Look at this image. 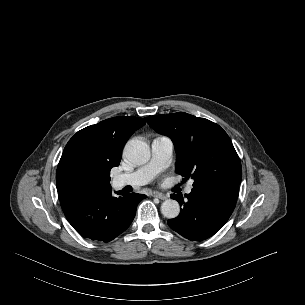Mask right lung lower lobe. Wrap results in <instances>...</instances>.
Returning <instances> with one entry per match:
<instances>
[{
	"instance_id": "1",
	"label": "right lung lower lobe",
	"mask_w": 305,
	"mask_h": 305,
	"mask_svg": "<svg viewBox=\"0 0 305 305\" xmlns=\"http://www.w3.org/2000/svg\"><path fill=\"white\" fill-rule=\"evenodd\" d=\"M112 197L111 189L90 190L61 201L62 210L72 227L84 238L109 242L133 221L143 194L123 193Z\"/></svg>"
}]
</instances>
